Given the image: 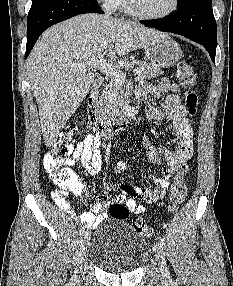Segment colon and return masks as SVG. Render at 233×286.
<instances>
[{"label":"colon","instance_id":"colon-1","mask_svg":"<svg viewBox=\"0 0 233 286\" xmlns=\"http://www.w3.org/2000/svg\"><path fill=\"white\" fill-rule=\"evenodd\" d=\"M177 77L181 86L186 91V107L188 114L194 116L199 103V96L196 90L197 75L191 65L180 62L177 67ZM83 120L78 119L72 124L44 155L43 166L50 175L53 182L60 190H77L81 188V183L73 170L64 166L72 157L74 152V134L82 124ZM187 165L183 164L178 175L174 178L171 186L168 210L170 213L178 211L187 196V184L185 174ZM131 210L124 203L116 201L109 206V213L113 218L125 220L129 217ZM132 226L139 234L151 237L153 230L147 225L142 217L132 218Z\"/></svg>","mask_w":233,"mask_h":286}]
</instances>
